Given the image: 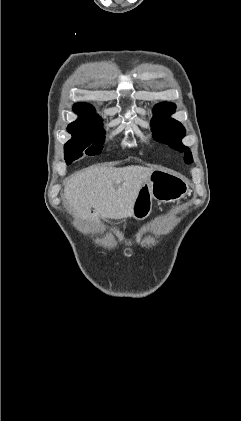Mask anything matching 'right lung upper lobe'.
Here are the masks:
<instances>
[{
  "label": "right lung upper lobe",
  "mask_w": 241,
  "mask_h": 421,
  "mask_svg": "<svg viewBox=\"0 0 241 421\" xmlns=\"http://www.w3.org/2000/svg\"><path fill=\"white\" fill-rule=\"evenodd\" d=\"M74 112L79 115V118L70 125L84 126L100 120V118L95 114L94 108L87 103L75 104Z\"/></svg>",
  "instance_id": "right-lung-upper-lobe-1"
}]
</instances>
